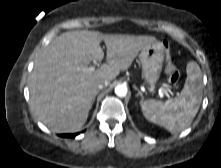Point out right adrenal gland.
<instances>
[{"label":"right adrenal gland","instance_id":"1","mask_svg":"<svg viewBox=\"0 0 221 168\" xmlns=\"http://www.w3.org/2000/svg\"><path fill=\"white\" fill-rule=\"evenodd\" d=\"M97 93H99V90L97 91ZM95 101V97L93 98V102Z\"/></svg>","mask_w":221,"mask_h":168}]
</instances>
